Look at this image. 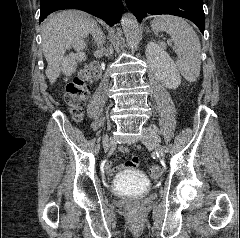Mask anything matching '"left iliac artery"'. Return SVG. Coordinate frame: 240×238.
I'll use <instances>...</instances> for the list:
<instances>
[{"label":"left iliac artery","instance_id":"obj_1","mask_svg":"<svg viewBox=\"0 0 240 238\" xmlns=\"http://www.w3.org/2000/svg\"><path fill=\"white\" fill-rule=\"evenodd\" d=\"M155 132L158 134V144L159 146L161 147L162 150H165L166 147H169V139L167 138V134L166 132H163L162 129H157V128H154Z\"/></svg>","mask_w":240,"mask_h":238}]
</instances>
